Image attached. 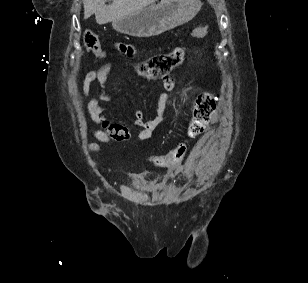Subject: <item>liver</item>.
<instances>
[{
  "label": "liver",
  "mask_w": 308,
  "mask_h": 283,
  "mask_svg": "<svg viewBox=\"0 0 308 283\" xmlns=\"http://www.w3.org/2000/svg\"><path fill=\"white\" fill-rule=\"evenodd\" d=\"M107 1L83 0L84 19H88L95 14L98 24H106L115 19L131 15L157 0H112L111 5H106Z\"/></svg>",
  "instance_id": "obj_1"
}]
</instances>
